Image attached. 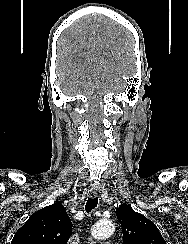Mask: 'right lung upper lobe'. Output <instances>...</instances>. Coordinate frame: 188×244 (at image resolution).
Listing matches in <instances>:
<instances>
[{
  "mask_svg": "<svg viewBox=\"0 0 188 244\" xmlns=\"http://www.w3.org/2000/svg\"><path fill=\"white\" fill-rule=\"evenodd\" d=\"M72 234L71 220L59 202L33 213L15 233L11 244H66Z\"/></svg>",
  "mask_w": 188,
  "mask_h": 244,
  "instance_id": "cb5924a9",
  "label": "right lung upper lobe"
}]
</instances>
